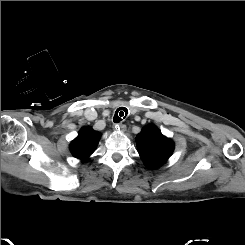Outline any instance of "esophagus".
<instances>
[{
	"label": "esophagus",
	"mask_w": 245,
	"mask_h": 245,
	"mask_svg": "<svg viewBox=\"0 0 245 245\" xmlns=\"http://www.w3.org/2000/svg\"><path fill=\"white\" fill-rule=\"evenodd\" d=\"M115 128L121 132H124L126 130V125L118 123V124H115Z\"/></svg>",
	"instance_id": "34e87169"
}]
</instances>
